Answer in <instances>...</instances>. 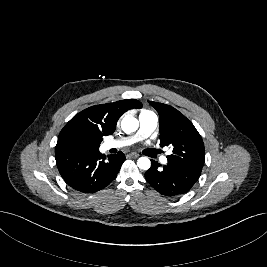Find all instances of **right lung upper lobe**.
<instances>
[{"label":"right lung upper lobe","instance_id":"1","mask_svg":"<svg viewBox=\"0 0 267 267\" xmlns=\"http://www.w3.org/2000/svg\"><path fill=\"white\" fill-rule=\"evenodd\" d=\"M141 106L142 104L138 100L126 99L89 107L76 114L64 126L59 135L78 132L94 139H103V136L114 133L116 123L124 112Z\"/></svg>","mask_w":267,"mask_h":267}]
</instances>
